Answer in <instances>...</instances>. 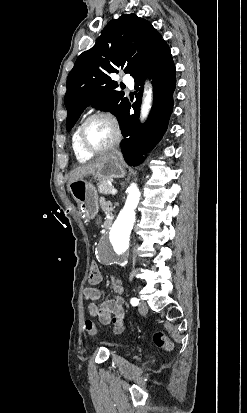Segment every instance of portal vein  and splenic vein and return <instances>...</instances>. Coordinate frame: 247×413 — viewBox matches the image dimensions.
Masks as SVG:
<instances>
[{"label":"portal vein and splenic vein","mask_w":247,"mask_h":413,"mask_svg":"<svg viewBox=\"0 0 247 413\" xmlns=\"http://www.w3.org/2000/svg\"><path fill=\"white\" fill-rule=\"evenodd\" d=\"M117 190L116 188H112V190H110V194H116Z\"/></svg>","instance_id":"18ae733b"}]
</instances>
